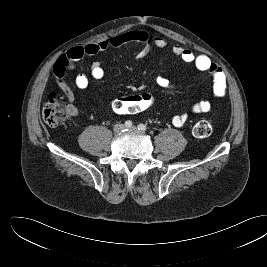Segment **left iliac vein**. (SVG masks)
<instances>
[{"instance_id": "obj_1", "label": "left iliac vein", "mask_w": 267, "mask_h": 267, "mask_svg": "<svg viewBox=\"0 0 267 267\" xmlns=\"http://www.w3.org/2000/svg\"><path fill=\"white\" fill-rule=\"evenodd\" d=\"M131 131H133V132H141V131H139L138 129H137V127H132L131 129H130ZM141 133H144V132H141Z\"/></svg>"}]
</instances>
